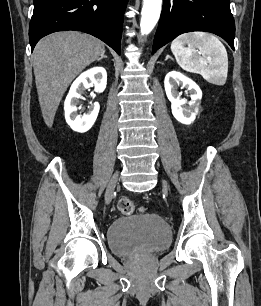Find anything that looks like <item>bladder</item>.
I'll return each mask as SVG.
<instances>
[{
	"label": "bladder",
	"instance_id": "1",
	"mask_svg": "<svg viewBox=\"0 0 261 306\" xmlns=\"http://www.w3.org/2000/svg\"><path fill=\"white\" fill-rule=\"evenodd\" d=\"M171 238L169 225L155 214L119 217L107 230L108 245L117 256L161 251L170 245Z\"/></svg>",
	"mask_w": 261,
	"mask_h": 306
}]
</instances>
